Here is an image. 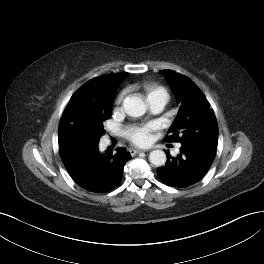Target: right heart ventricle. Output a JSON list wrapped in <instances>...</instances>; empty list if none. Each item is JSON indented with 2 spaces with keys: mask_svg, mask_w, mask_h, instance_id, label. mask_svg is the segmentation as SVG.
<instances>
[{
  "mask_svg": "<svg viewBox=\"0 0 264 264\" xmlns=\"http://www.w3.org/2000/svg\"><path fill=\"white\" fill-rule=\"evenodd\" d=\"M145 91H146V98H147V100L151 96L158 95V94L163 95L166 98H168L167 91L163 87H161V86H149V85H147V86H145Z\"/></svg>",
  "mask_w": 264,
  "mask_h": 264,
  "instance_id": "right-heart-ventricle-1",
  "label": "right heart ventricle"
}]
</instances>
